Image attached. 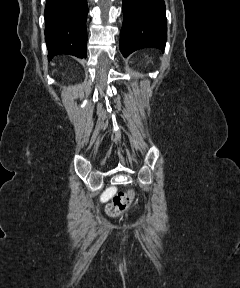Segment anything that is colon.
I'll list each match as a JSON object with an SVG mask.
<instances>
[{"mask_svg": "<svg viewBox=\"0 0 240 288\" xmlns=\"http://www.w3.org/2000/svg\"><path fill=\"white\" fill-rule=\"evenodd\" d=\"M134 199V193L132 190L121 191L116 194L111 203L107 207V212L111 216H118L131 204Z\"/></svg>", "mask_w": 240, "mask_h": 288, "instance_id": "obj_1", "label": "colon"}]
</instances>
